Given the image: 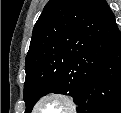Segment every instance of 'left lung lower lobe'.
Listing matches in <instances>:
<instances>
[{
  "mask_svg": "<svg viewBox=\"0 0 121 113\" xmlns=\"http://www.w3.org/2000/svg\"><path fill=\"white\" fill-rule=\"evenodd\" d=\"M78 113H121V33L84 85L77 101Z\"/></svg>",
  "mask_w": 121,
  "mask_h": 113,
  "instance_id": "obj_1",
  "label": "left lung lower lobe"
}]
</instances>
